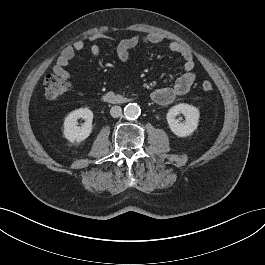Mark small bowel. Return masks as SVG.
Segmentation results:
<instances>
[{
	"label": "small bowel",
	"mask_w": 265,
	"mask_h": 265,
	"mask_svg": "<svg viewBox=\"0 0 265 265\" xmlns=\"http://www.w3.org/2000/svg\"><path fill=\"white\" fill-rule=\"evenodd\" d=\"M89 40L92 42L90 53L94 58H97L101 52L98 41H114L115 39L105 33H95L89 37ZM164 40V36L159 33L148 35L136 34L121 40L117 45L116 53L121 61L126 62L130 59L131 52L135 48L144 44H160ZM84 48L85 43L82 40H77L72 45L65 47L53 67L54 74L63 79L71 80L73 75L68 70L70 61L75 57L77 52L82 51ZM168 49L183 58L184 72L172 85L157 88L152 92V100L159 105H169L177 98L188 93L196 80L195 62L192 51L176 41H170L168 43Z\"/></svg>",
	"instance_id": "1"
}]
</instances>
